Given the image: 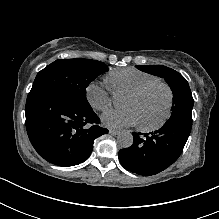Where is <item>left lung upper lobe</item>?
Returning <instances> with one entry per match:
<instances>
[{"label": "left lung upper lobe", "instance_id": "obj_1", "mask_svg": "<svg viewBox=\"0 0 219 219\" xmlns=\"http://www.w3.org/2000/svg\"><path fill=\"white\" fill-rule=\"evenodd\" d=\"M136 68L164 78L173 93V111L167 121L182 120L192 122L193 97L188 82L180 73L162 65H136Z\"/></svg>", "mask_w": 219, "mask_h": 219}]
</instances>
